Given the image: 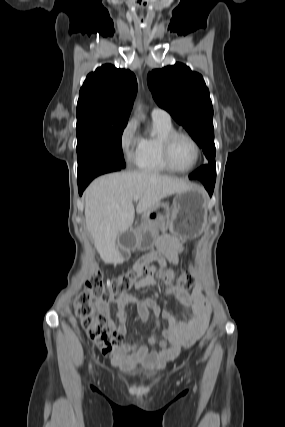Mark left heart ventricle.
<instances>
[{"label":"left heart ventricle","instance_id":"b2bd125f","mask_svg":"<svg viewBox=\"0 0 285 427\" xmlns=\"http://www.w3.org/2000/svg\"><path fill=\"white\" fill-rule=\"evenodd\" d=\"M195 158V149L193 144L185 137H177L170 149V159L177 169L189 168Z\"/></svg>","mask_w":285,"mask_h":427}]
</instances>
